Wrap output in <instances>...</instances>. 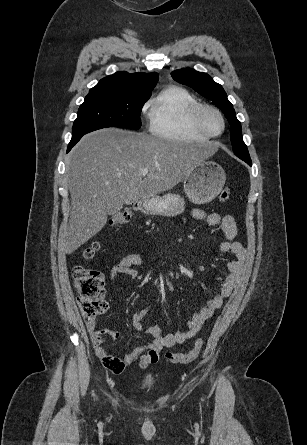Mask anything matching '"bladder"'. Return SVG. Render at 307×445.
<instances>
[{
  "label": "bladder",
  "instance_id": "31cf9c89",
  "mask_svg": "<svg viewBox=\"0 0 307 445\" xmlns=\"http://www.w3.org/2000/svg\"><path fill=\"white\" fill-rule=\"evenodd\" d=\"M154 380L153 379H151V378H146V379H144V380H142L141 382H140V384H139V387L141 388V389H150V388H152L153 386H154Z\"/></svg>",
  "mask_w": 307,
  "mask_h": 445
}]
</instances>
